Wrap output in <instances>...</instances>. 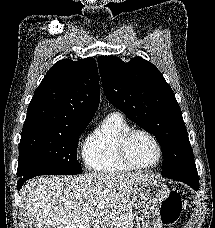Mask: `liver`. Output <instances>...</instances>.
I'll return each instance as SVG.
<instances>
[{
	"mask_svg": "<svg viewBox=\"0 0 215 228\" xmlns=\"http://www.w3.org/2000/svg\"><path fill=\"white\" fill-rule=\"evenodd\" d=\"M147 174L39 176L20 194L33 228H132L135 184Z\"/></svg>",
	"mask_w": 215,
	"mask_h": 228,
	"instance_id": "liver-1",
	"label": "liver"
}]
</instances>
